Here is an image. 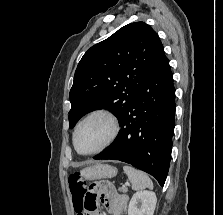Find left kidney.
Instances as JSON below:
<instances>
[{"label": "left kidney", "instance_id": "left-kidney-1", "mask_svg": "<svg viewBox=\"0 0 223 215\" xmlns=\"http://www.w3.org/2000/svg\"><path fill=\"white\" fill-rule=\"evenodd\" d=\"M157 197L155 191H136L128 205V215H153Z\"/></svg>", "mask_w": 223, "mask_h": 215}]
</instances>
